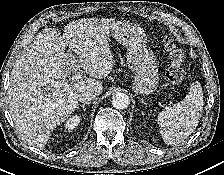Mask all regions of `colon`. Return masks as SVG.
Instances as JSON below:
<instances>
[{"instance_id":"1","label":"colon","mask_w":224,"mask_h":175,"mask_svg":"<svg viewBox=\"0 0 224 175\" xmlns=\"http://www.w3.org/2000/svg\"><path fill=\"white\" fill-rule=\"evenodd\" d=\"M166 50L169 52L170 65L166 71V78L171 85L180 84L185 78V70L182 67L184 50L179 47L172 38L165 40Z\"/></svg>"}]
</instances>
